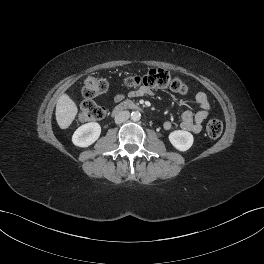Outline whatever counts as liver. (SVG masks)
Instances as JSON below:
<instances>
[{
  "instance_id": "1",
  "label": "liver",
  "mask_w": 264,
  "mask_h": 264,
  "mask_svg": "<svg viewBox=\"0 0 264 264\" xmlns=\"http://www.w3.org/2000/svg\"><path fill=\"white\" fill-rule=\"evenodd\" d=\"M78 113L75 102L67 95L62 94L56 104V120L61 129H67Z\"/></svg>"
}]
</instances>
